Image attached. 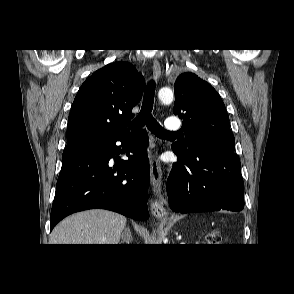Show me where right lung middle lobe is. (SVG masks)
<instances>
[{"instance_id":"obj_1","label":"right lung middle lobe","mask_w":294,"mask_h":294,"mask_svg":"<svg viewBox=\"0 0 294 294\" xmlns=\"http://www.w3.org/2000/svg\"><path fill=\"white\" fill-rule=\"evenodd\" d=\"M87 142H89V141H86V142H77V143L69 144V145H67V147L76 146V145H80V144L87 143Z\"/></svg>"}]
</instances>
